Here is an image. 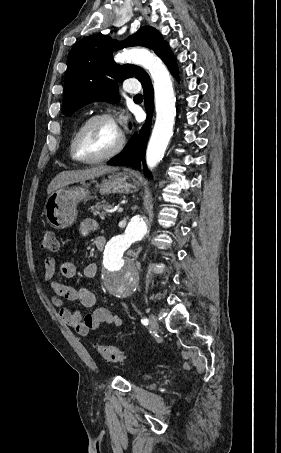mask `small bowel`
Instances as JSON below:
<instances>
[{
	"mask_svg": "<svg viewBox=\"0 0 281 453\" xmlns=\"http://www.w3.org/2000/svg\"><path fill=\"white\" fill-rule=\"evenodd\" d=\"M98 229V223L93 219H85L80 224V234L84 238ZM103 239L96 240L95 249L98 252L103 251ZM55 259L49 257L41 270V280L51 290L55 291L58 296L52 297V305L58 309L60 317L75 331L79 336H88L91 331L96 330L101 323H108L113 326L122 325V318L108 309H95L91 314L82 318L80 312L76 309H69L64 304V299L70 302L80 303L84 307H92L95 303V296L91 290L82 285L80 288L71 287L62 284L56 280ZM98 266L95 262L88 263L83 269V278L89 280L96 275ZM61 275L64 278H75L77 268L73 262H64L61 265Z\"/></svg>",
	"mask_w": 281,
	"mask_h": 453,
	"instance_id": "1",
	"label": "small bowel"
}]
</instances>
